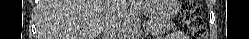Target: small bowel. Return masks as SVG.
<instances>
[{
    "instance_id": "small-bowel-1",
    "label": "small bowel",
    "mask_w": 249,
    "mask_h": 39,
    "mask_svg": "<svg viewBox=\"0 0 249 39\" xmlns=\"http://www.w3.org/2000/svg\"><path fill=\"white\" fill-rule=\"evenodd\" d=\"M175 36H177V37H183V34H181V33H176Z\"/></svg>"
}]
</instances>
